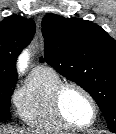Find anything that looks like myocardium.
<instances>
[{"label":"myocardium","instance_id":"myocardium-1","mask_svg":"<svg viewBox=\"0 0 116 134\" xmlns=\"http://www.w3.org/2000/svg\"><path fill=\"white\" fill-rule=\"evenodd\" d=\"M69 88L77 89L78 91L83 93L87 97V99L89 100V102L92 106V111H93L92 120L86 125H81V124H77V123L73 122L72 120H70L67 117V115L64 112L62 99H63V95H64L65 91ZM53 104H54V109H55V112H56L58 118L70 128L87 129V128L92 127L98 119V105H97L94 97L85 87H83L82 85H80L78 83L71 82V81L62 82L54 91Z\"/></svg>","mask_w":116,"mask_h":134}]
</instances>
